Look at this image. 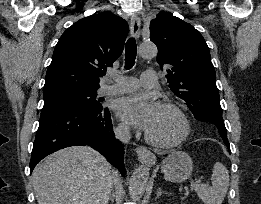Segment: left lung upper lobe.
I'll use <instances>...</instances> for the list:
<instances>
[{"label": "left lung upper lobe", "mask_w": 261, "mask_h": 204, "mask_svg": "<svg viewBox=\"0 0 261 204\" xmlns=\"http://www.w3.org/2000/svg\"><path fill=\"white\" fill-rule=\"evenodd\" d=\"M150 40L158 48L159 65L169 67L166 78L174 94L186 102L197 120L214 124L221 137L227 136L215 69L200 32L161 12L150 23Z\"/></svg>", "instance_id": "1"}]
</instances>
